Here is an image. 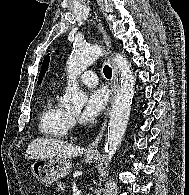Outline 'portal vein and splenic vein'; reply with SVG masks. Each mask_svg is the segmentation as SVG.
<instances>
[{"instance_id": "portal-vein-and-splenic-vein-1", "label": "portal vein and splenic vein", "mask_w": 189, "mask_h": 195, "mask_svg": "<svg viewBox=\"0 0 189 195\" xmlns=\"http://www.w3.org/2000/svg\"><path fill=\"white\" fill-rule=\"evenodd\" d=\"M73 195H81V191H75L73 192Z\"/></svg>"}]
</instances>
